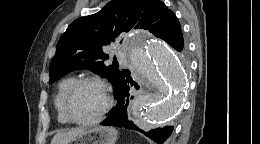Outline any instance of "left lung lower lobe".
<instances>
[{"label": "left lung lower lobe", "mask_w": 260, "mask_h": 144, "mask_svg": "<svg viewBox=\"0 0 260 144\" xmlns=\"http://www.w3.org/2000/svg\"><path fill=\"white\" fill-rule=\"evenodd\" d=\"M171 47L181 52L184 47V39L182 31L178 33L168 42ZM131 86L137 85L132 81V79L125 73L124 78L120 85L115 90V97L117 99V106L109 112L106 120H104L101 125L104 126H116L124 127L127 129L138 130L144 133L147 137L151 138L158 144H163L164 141L170 136L173 131V126H164L150 131H143L140 129L136 123L131 120L127 106L129 103V90Z\"/></svg>", "instance_id": "1"}]
</instances>
